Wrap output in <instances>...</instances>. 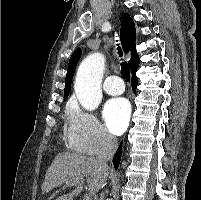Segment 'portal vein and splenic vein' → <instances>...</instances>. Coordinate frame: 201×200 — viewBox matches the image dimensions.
<instances>
[{
	"label": "portal vein and splenic vein",
	"instance_id": "1",
	"mask_svg": "<svg viewBox=\"0 0 201 200\" xmlns=\"http://www.w3.org/2000/svg\"><path fill=\"white\" fill-rule=\"evenodd\" d=\"M65 184H66L67 186H74L75 184H77V182H75V181H72V182L67 181V182H65ZM84 200H91V197L88 196V195H85V196H84Z\"/></svg>",
	"mask_w": 201,
	"mask_h": 200
}]
</instances>
